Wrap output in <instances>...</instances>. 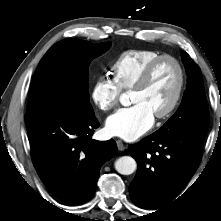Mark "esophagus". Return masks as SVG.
<instances>
[{
  "mask_svg": "<svg viewBox=\"0 0 221 221\" xmlns=\"http://www.w3.org/2000/svg\"><path fill=\"white\" fill-rule=\"evenodd\" d=\"M116 143H117V147L120 151L125 150L126 147H125L124 143L121 140H117Z\"/></svg>",
  "mask_w": 221,
  "mask_h": 221,
  "instance_id": "esophagus-1",
  "label": "esophagus"
}]
</instances>
